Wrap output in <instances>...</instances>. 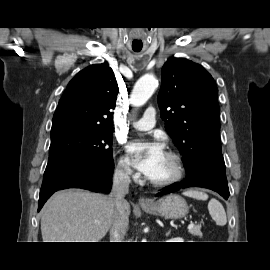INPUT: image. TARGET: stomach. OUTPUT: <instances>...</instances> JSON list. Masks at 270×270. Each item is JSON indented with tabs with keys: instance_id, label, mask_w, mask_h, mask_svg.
<instances>
[{
	"instance_id": "1",
	"label": "stomach",
	"mask_w": 270,
	"mask_h": 270,
	"mask_svg": "<svg viewBox=\"0 0 270 270\" xmlns=\"http://www.w3.org/2000/svg\"><path fill=\"white\" fill-rule=\"evenodd\" d=\"M142 209L147 213L170 219L183 218L189 212L185 199L175 194L162 197L155 201L152 206H143Z\"/></svg>"
}]
</instances>
